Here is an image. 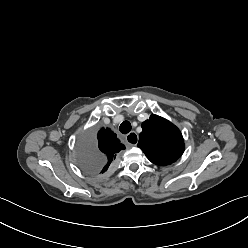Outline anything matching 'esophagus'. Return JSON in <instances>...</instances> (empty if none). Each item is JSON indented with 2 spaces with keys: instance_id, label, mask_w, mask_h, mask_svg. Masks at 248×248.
I'll list each match as a JSON object with an SVG mask.
<instances>
[{
  "instance_id": "34e87169",
  "label": "esophagus",
  "mask_w": 248,
  "mask_h": 248,
  "mask_svg": "<svg viewBox=\"0 0 248 248\" xmlns=\"http://www.w3.org/2000/svg\"><path fill=\"white\" fill-rule=\"evenodd\" d=\"M138 135L135 132H130L127 136H126V142L130 145V146H135L138 143Z\"/></svg>"
}]
</instances>
